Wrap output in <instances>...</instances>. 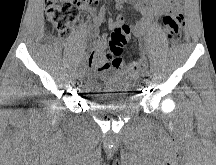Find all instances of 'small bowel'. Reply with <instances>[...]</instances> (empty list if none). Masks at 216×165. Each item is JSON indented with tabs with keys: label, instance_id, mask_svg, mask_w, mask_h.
<instances>
[{
	"label": "small bowel",
	"instance_id": "c3829d8e",
	"mask_svg": "<svg viewBox=\"0 0 216 165\" xmlns=\"http://www.w3.org/2000/svg\"><path fill=\"white\" fill-rule=\"evenodd\" d=\"M127 0H115L116 6L121 10L122 4ZM134 8L142 14V18L131 26V32L134 36L142 35L154 15H165L180 7L182 0H133ZM94 17L95 25H101L106 20V9L99 10L93 7L86 8ZM125 24L123 15H119L115 20L109 22V26L114 28L116 26ZM107 45L106 36L94 43V52L102 53L105 51Z\"/></svg>",
	"mask_w": 216,
	"mask_h": 165
}]
</instances>
